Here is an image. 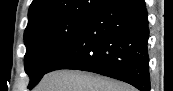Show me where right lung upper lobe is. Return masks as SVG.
Instances as JSON below:
<instances>
[{"label": "right lung upper lobe", "instance_id": "1", "mask_svg": "<svg viewBox=\"0 0 173 91\" xmlns=\"http://www.w3.org/2000/svg\"><path fill=\"white\" fill-rule=\"evenodd\" d=\"M111 0H33L28 12V25L66 16L95 13Z\"/></svg>", "mask_w": 173, "mask_h": 91}]
</instances>
